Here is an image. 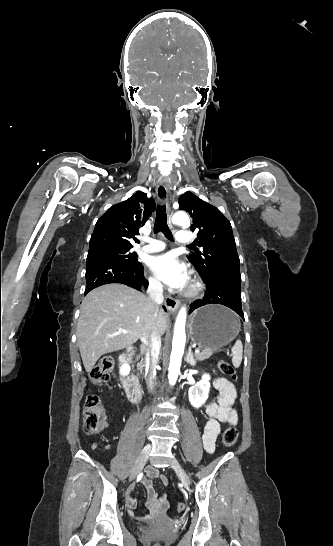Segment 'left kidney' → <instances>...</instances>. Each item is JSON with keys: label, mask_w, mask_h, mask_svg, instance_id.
I'll return each instance as SVG.
<instances>
[{"label": "left kidney", "mask_w": 333, "mask_h": 546, "mask_svg": "<svg viewBox=\"0 0 333 546\" xmlns=\"http://www.w3.org/2000/svg\"><path fill=\"white\" fill-rule=\"evenodd\" d=\"M209 380V374H205L197 384L189 388V401L194 408H200L208 399L210 390Z\"/></svg>", "instance_id": "left-kidney-1"}]
</instances>
